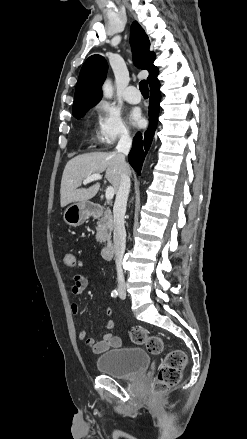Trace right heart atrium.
Wrapping results in <instances>:
<instances>
[{
    "instance_id": "obj_1",
    "label": "right heart atrium",
    "mask_w": 247,
    "mask_h": 439,
    "mask_svg": "<svg viewBox=\"0 0 247 439\" xmlns=\"http://www.w3.org/2000/svg\"><path fill=\"white\" fill-rule=\"evenodd\" d=\"M98 125L97 142L104 147L115 144L118 140L127 139L131 132L120 112L110 104L102 102L97 107Z\"/></svg>"
}]
</instances>
